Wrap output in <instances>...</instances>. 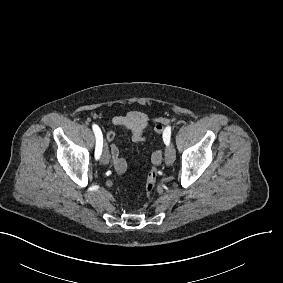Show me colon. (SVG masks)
Masks as SVG:
<instances>
[{"instance_id":"5ec220e1","label":"colon","mask_w":283,"mask_h":283,"mask_svg":"<svg viewBox=\"0 0 283 283\" xmlns=\"http://www.w3.org/2000/svg\"><path fill=\"white\" fill-rule=\"evenodd\" d=\"M151 160L153 162H157V157L156 156H152ZM157 176H158V171L156 169V167H151L149 172H148V176H147V183H146V187H145V193L148 197H150L154 190H155V186H156V182H157Z\"/></svg>"}]
</instances>
